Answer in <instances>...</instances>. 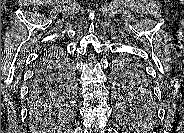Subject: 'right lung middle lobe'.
<instances>
[{"label":"right lung middle lobe","mask_w":184,"mask_h":133,"mask_svg":"<svg viewBox=\"0 0 184 133\" xmlns=\"http://www.w3.org/2000/svg\"><path fill=\"white\" fill-rule=\"evenodd\" d=\"M39 72L40 78L36 80L39 82L33 85L29 95V108L33 116L43 115L69 101L66 98L71 95L74 83L70 62L57 50L42 55Z\"/></svg>","instance_id":"obj_1"}]
</instances>
